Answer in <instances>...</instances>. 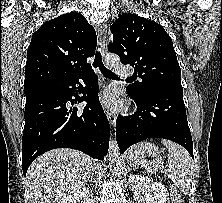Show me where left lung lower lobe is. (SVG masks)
<instances>
[{"mask_svg": "<svg viewBox=\"0 0 222 203\" xmlns=\"http://www.w3.org/2000/svg\"><path fill=\"white\" fill-rule=\"evenodd\" d=\"M129 96L136 102L137 111L117 117L116 138L121 153L145 139L164 138L182 145L194 158L183 90L160 87L141 97Z\"/></svg>", "mask_w": 222, "mask_h": 203, "instance_id": "left-lung-lower-lobe-1", "label": "left lung lower lobe"}]
</instances>
